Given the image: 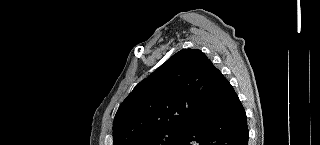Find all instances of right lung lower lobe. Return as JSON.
<instances>
[{"label": "right lung lower lobe", "instance_id": "right-lung-lower-lobe-1", "mask_svg": "<svg viewBox=\"0 0 320 145\" xmlns=\"http://www.w3.org/2000/svg\"><path fill=\"white\" fill-rule=\"evenodd\" d=\"M219 100L211 113L185 127L173 145H247L249 131L245 110L231 84L224 78Z\"/></svg>", "mask_w": 320, "mask_h": 145}]
</instances>
